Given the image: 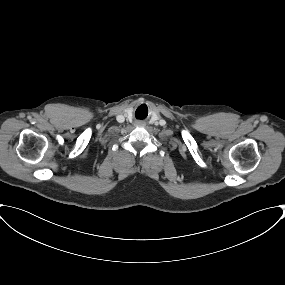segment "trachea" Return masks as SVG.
Wrapping results in <instances>:
<instances>
[{"label": "trachea", "mask_w": 285, "mask_h": 285, "mask_svg": "<svg viewBox=\"0 0 285 285\" xmlns=\"http://www.w3.org/2000/svg\"><path fill=\"white\" fill-rule=\"evenodd\" d=\"M144 108H147L146 105H141L140 107H138V109L135 112V115H136L137 118L143 119V118L146 117L147 113H145L143 111Z\"/></svg>", "instance_id": "1"}]
</instances>
